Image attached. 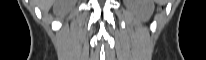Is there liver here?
Returning <instances> with one entry per match:
<instances>
[{
    "label": "liver",
    "instance_id": "obj_1",
    "mask_svg": "<svg viewBox=\"0 0 206 60\" xmlns=\"http://www.w3.org/2000/svg\"><path fill=\"white\" fill-rule=\"evenodd\" d=\"M76 0H41L40 8L42 11H47L52 5L54 12L62 16L70 11Z\"/></svg>",
    "mask_w": 206,
    "mask_h": 60
}]
</instances>
